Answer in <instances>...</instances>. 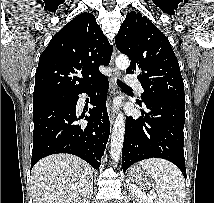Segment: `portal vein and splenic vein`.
Returning a JSON list of instances; mask_svg holds the SVG:
<instances>
[{"label": "portal vein and splenic vein", "instance_id": "obj_1", "mask_svg": "<svg viewBox=\"0 0 214 203\" xmlns=\"http://www.w3.org/2000/svg\"><path fill=\"white\" fill-rule=\"evenodd\" d=\"M133 191L138 195V197L140 199H144V200H153V196H147L146 194H144L143 192H141L138 189H133Z\"/></svg>", "mask_w": 214, "mask_h": 203}]
</instances>
